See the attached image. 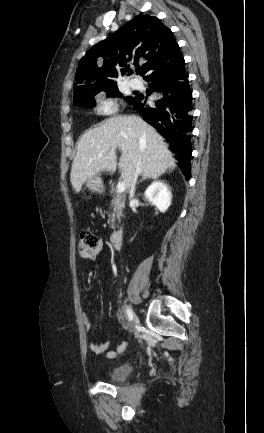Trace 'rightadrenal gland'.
<instances>
[{"instance_id": "obj_1", "label": "right adrenal gland", "mask_w": 264, "mask_h": 433, "mask_svg": "<svg viewBox=\"0 0 264 433\" xmlns=\"http://www.w3.org/2000/svg\"><path fill=\"white\" fill-rule=\"evenodd\" d=\"M146 179H155V178L143 176L142 179L138 182V184L142 183Z\"/></svg>"}]
</instances>
